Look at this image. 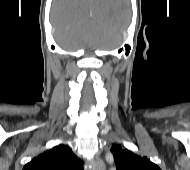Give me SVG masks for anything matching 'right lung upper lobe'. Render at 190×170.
<instances>
[{"label":"right lung upper lobe","instance_id":"cb5924a9","mask_svg":"<svg viewBox=\"0 0 190 170\" xmlns=\"http://www.w3.org/2000/svg\"><path fill=\"white\" fill-rule=\"evenodd\" d=\"M23 170H83V161L68 146L58 145L33 158Z\"/></svg>","mask_w":190,"mask_h":170}]
</instances>
